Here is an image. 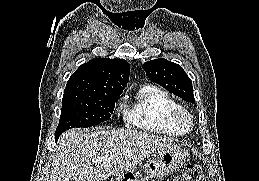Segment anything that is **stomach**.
<instances>
[{"label":"stomach","mask_w":259,"mask_h":181,"mask_svg":"<svg viewBox=\"0 0 259 181\" xmlns=\"http://www.w3.org/2000/svg\"><path fill=\"white\" fill-rule=\"evenodd\" d=\"M185 153L176 145L156 151L145 164L139 163L132 169L115 176L111 181H161L173 174L184 162Z\"/></svg>","instance_id":"0dacf381"}]
</instances>
